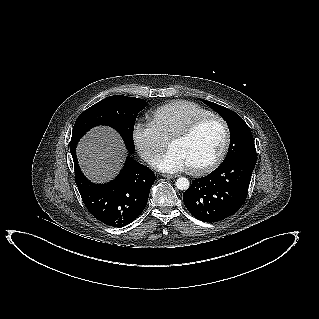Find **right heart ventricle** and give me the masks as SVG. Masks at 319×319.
Masks as SVG:
<instances>
[{
    "label": "right heart ventricle",
    "instance_id": "1",
    "mask_svg": "<svg viewBox=\"0 0 319 319\" xmlns=\"http://www.w3.org/2000/svg\"><path fill=\"white\" fill-rule=\"evenodd\" d=\"M210 114H212L211 111L196 103L175 100L154 109L149 118L151 124L168 141L194 119Z\"/></svg>",
    "mask_w": 319,
    "mask_h": 319
}]
</instances>
